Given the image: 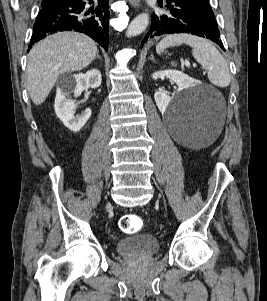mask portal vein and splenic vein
<instances>
[{
	"instance_id": "obj_1",
	"label": "portal vein and splenic vein",
	"mask_w": 267,
	"mask_h": 301,
	"mask_svg": "<svg viewBox=\"0 0 267 301\" xmlns=\"http://www.w3.org/2000/svg\"><path fill=\"white\" fill-rule=\"evenodd\" d=\"M184 62H185L186 65H189V62H188V61L185 60Z\"/></svg>"
}]
</instances>
